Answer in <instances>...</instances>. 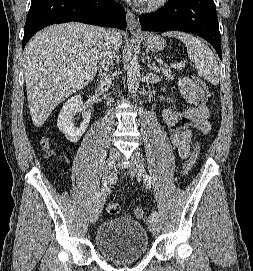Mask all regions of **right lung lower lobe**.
<instances>
[{
	"instance_id": "98d812e1",
	"label": "right lung lower lobe",
	"mask_w": 253,
	"mask_h": 271,
	"mask_svg": "<svg viewBox=\"0 0 253 271\" xmlns=\"http://www.w3.org/2000/svg\"><path fill=\"white\" fill-rule=\"evenodd\" d=\"M70 21L125 30L126 14L114 0H32L24 27L23 48L40 29Z\"/></svg>"
}]
</instances>
